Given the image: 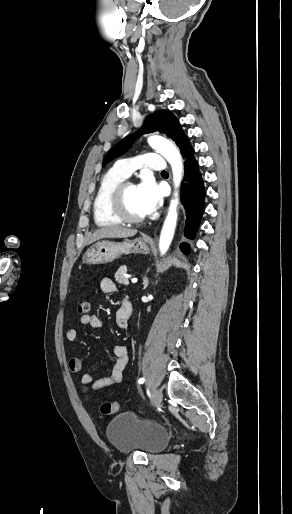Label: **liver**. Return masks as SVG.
Returning <instances> with one entry per match:
<instances>
[{"label": "liver", "instance_id": "6515ba94", "mask_svg": "<svg viewBox=\"0 0 292 514\" xmlns=\"http://www.w3.org/2000/svg\"><path fill=\"white\" fill-rule=\"evenodd\" d=\"M135 234H137V230H129V228H123V226H102L100 230L91 234L89 244L102 240V238H131Z\"/></svg>", "mask_w": 292, "mask_h": 514}]
</instances>
